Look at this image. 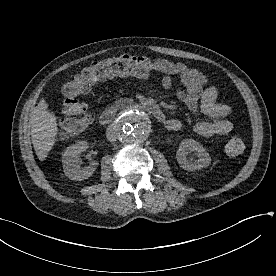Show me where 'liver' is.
I'll list each match as a JSON object with an SVG mask.
<instances>
[{
  "mask_svg": "<svg viewBox=\"0 0 276 276\" xmlns=\"http://www.w3.org/2000/svg\"><path fill=\"white\" fill-rule=\"evenodd\" d=\"M29 124L34 150L40 161H44L53 148L58 133L57 118L48 109L45 99L32 109Z\"/></svg>",
  "mask_w": 276,
  "mask_h": 276,
  "instance_id": "obj_1",
  "label": "liver"
}]
</instances>
